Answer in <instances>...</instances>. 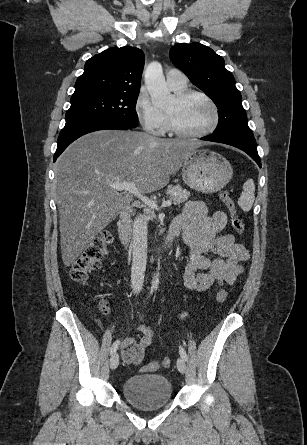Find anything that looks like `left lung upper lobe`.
I'll use <instances>...</instances> for the list:
<instances>
[{
	"mask_svg": "<svg viewBox=\"0 0 307 445\" xmlns=\"http://www.w3.org/2000/svg\"><path fill=\"white\" fill-rule=\"evenodd\" d=\"M170 59L190 81L216 104L219 122L213 135H253L247 124L242 97L235 79L225 68L224 59L211 48L197 42L176 44L170 49Z\"/></svg>",
	"mask_w": 307,
	"mask_h": 445,
	"instance_id": "1",
	"label": "left lung upper lobe"
}]
</instances>
